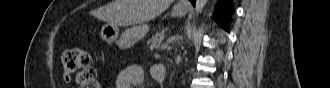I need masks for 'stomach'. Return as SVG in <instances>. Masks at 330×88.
<instances>
[{
    "label": "stomach",
    "instance_id": "stomach-1",
    "mask_svg": "<svg viewBox=\"0 0 330 88\" xmlns=\"http://www.w3.org/2000/svg\"><path fill=\"white\" fill-rule=\"evenodd\" d=\"M186 13V7L176 5L171 11V16L183 17ZM148 31L149 26L146 24L133 26L127 29L118 39V26L107 23L101 29V38L106 42L116 41L121 48H129L141 40Z\"/></svg>",
    "mask_w": 330,
    "mask_h": 88
}]
</instances>
